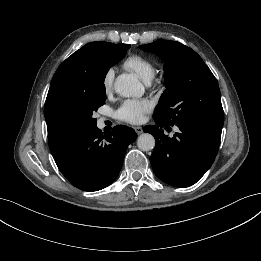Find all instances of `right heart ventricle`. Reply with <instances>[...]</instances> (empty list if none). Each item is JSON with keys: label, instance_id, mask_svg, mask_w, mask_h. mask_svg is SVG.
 <instances>
[{"label": "right heart ventricle", "instance_id": "1", "mask_svg": "<svg viewBox=\"0 0 261 261\" xmlns=\"http://www.w3.org/2000/svg\"><path fill=\"white\" fill-rule=\"evenodd\" d=\"M123 65L145 82H149L156 72L153 61L148 57L139 54H132L127 57Z\"/></svg>", "mask_w": 261, "mask_h": 261}]
</instances>
